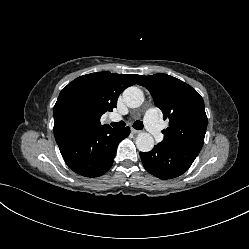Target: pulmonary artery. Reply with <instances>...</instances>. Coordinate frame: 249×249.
I'll return each instance as SVG.
<instances>
[{
	"instance_id": "pulmonary-artery-1",
	"label": "pulmonary artery",
	"mask_w": 249,
	"mask_h": 249,
	"mask_svg": "<svg viewBox=\"0 0 249 249\" xmlns=\"http://www.w3.org/2000/svg\"><path fill=\"white\" fill-rule=\"evenodd\" d=\"M144 124L156 141H162L163 134L159 123L158 112L155 108H150L145 112Z\"/></svg>"
}]
</instances>
